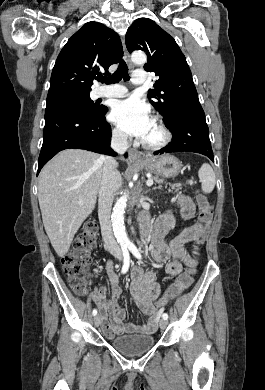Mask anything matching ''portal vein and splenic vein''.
I'll list each match as a JSON object with an SVG mask.
<instances>
[{
    "label": "portal vein and splenic vein",
    "mask_w": 265,
    "mask_h": 390,
    "mask_svg": "<svg viewBox=\"0 0 265 390\" xmlns=\"http://www.w3.org/2000/svg\"><path fill=\"white\" fill-rule=\"evenodd\" d=\"M146 185H147V186H152V185H153V180H152V179H148V180L146 181Z\"/></svg>",
    "instance_id": "portal-vein-and-splenic-vein-1"
}]
</instances>
